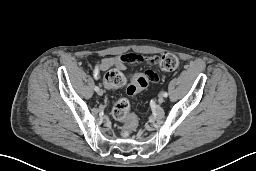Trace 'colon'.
Segmentation results:
<instances>
[{
  "instance_id": "1",
  "label": "colon",
  "mask_w": 256,
  "mask_h": 171,
  "mask_svg": "<svg viewBox=\"0 0 256 171\" xmlns=\"http://www.w3.org/2000/svg\"><path fill=\"white\" fill-rule=\"evenodd\" d=\"M155 63L158 68L163 71L175 70L179 65V59L176 55L167 53L156 58ZM105 84L110 88H119L126 83L125 74L117 69L108 71L104 78ZM148 85V80L143 73H136L132 76L130 84L127 87V92L130 95L137 94ZM113 118L124 124L122 136L128 137L137 126V117L130 110V103L126 98H120L114 102L111 107Z\"/></svg>"
}]
</instances>
